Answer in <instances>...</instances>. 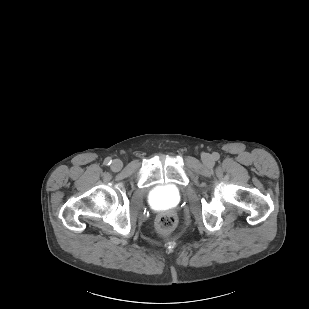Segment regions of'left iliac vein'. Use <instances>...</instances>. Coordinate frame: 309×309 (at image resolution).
Masks as SVG:
<instances>
[{"instance_id": "4c4485c4", "label": "left iliac vein", "mask_w": 309, "mask_h": 309, "mask_svg": "<svg viewBox=\"0 0 309 309\" xmlns=\"http://www.w3.org/2000/svg\"><path fill=\"white\" fill-rule=\"evenodd\" d=\"M202 161L207 166H213L214 165V160H213L212 156L209 155V154H203Z\"/></svg>"}]
</instances>
